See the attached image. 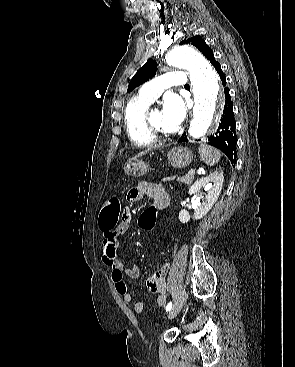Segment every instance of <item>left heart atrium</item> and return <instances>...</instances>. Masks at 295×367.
<instances>
[{"label":"left heart atrium","mask_w":295,"mask_h":367,"mask_svg":"<svg viewBox=\"0 0 295 367\" xmlns=\"http://www.w3.org/2000/svg\"><path fill=\"white\" fill-rule=\"evenodd\" d=\"M185 114L186 107L179 95L168 94L164 98L162 119L163 125L168 131H176L183 122Z\"/></svg>","instance_id":"obj_1"}]
</instances>
